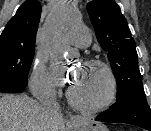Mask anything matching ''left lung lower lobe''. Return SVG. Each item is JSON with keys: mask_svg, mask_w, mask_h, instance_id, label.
<instances>
[{"mask_svg": "<svg viewBox=\"0 0 151 131\" xmlns=\"http://www.w3.org/2000/svg\"><path fill=\"white\" fill-rule=\"evenodd\" d=\"M109 123H127L151 131V110L145 92H134L114 103L95 119Z\"/></svg>", "mask_w": 151, "mask_h": 131, "instance_id": "1", "label": "left lung lower lobe"}]
</instances>
